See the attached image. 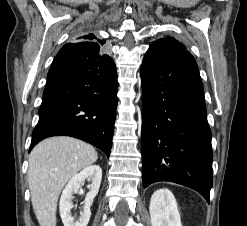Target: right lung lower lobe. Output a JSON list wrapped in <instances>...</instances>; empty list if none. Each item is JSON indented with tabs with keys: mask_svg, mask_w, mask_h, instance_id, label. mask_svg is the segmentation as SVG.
Returning <instances> with one entry per match:
<instances>
[{
	"mask_svg": "<svg viewBox=\"0 0 247 226\" xmlns=\"http://www.w3.org/2000/svg\"><path fill=\"white\" fill-rule=\"evenodd\" d=\"M117 72L98 43H67L48 72L31 149L50 136L84 140L109 157L117 107Z\"/></svg>",
	"mask_w": 247,
	"mask_h": 226,
	"instance_id": "right-lung-lower-lobe-1",
	"label": "right lung lower lobe"
}]
</instances>
